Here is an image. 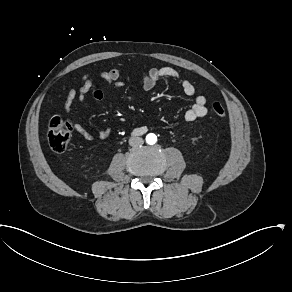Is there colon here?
Wrapping results in <instances>:
<instances>
[{
  "instance_id": "colon-1",
  "label": "colon",
  "mask_w": 292,
  "mask_h": 292,
  "mask_svg": "<svg viewBox=\"0 0 292 292\" xmlns=\"http://www.w3.org/2000/svg\"><path fill=\"white\" fill-rule=\"evenodd\" d=\"M213 113L221 118H225V109L220 102H213L211 105ZM73 128L70 122L61 116H53L49 122L47 141L50 149L54 153H63L71 139Z\"/></svg>"
}]
</instances>
